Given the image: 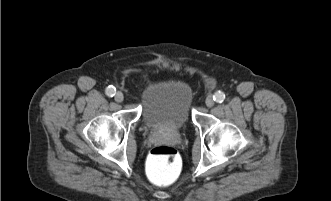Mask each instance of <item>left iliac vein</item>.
<instances>
[{
  "label": "left iliac vein",
  "mask_w": 331,
  "mask_h": 201,
  "mask_svg": "<svg viewBox=\"0 0 331 201\" xmlns=\"http://www.w3.org/2000/svg\"><path fill=\"white\" fill-rule=\"evenodd\" d=\"M206 106L207 107H212L214 105V99H213V96L212 95H208L207 98H206Z\"/></svg>",
  "instance_id": "1"
}]
</instances>
